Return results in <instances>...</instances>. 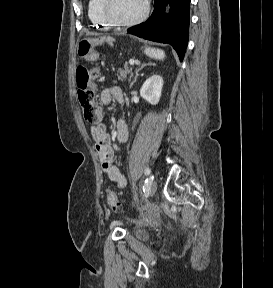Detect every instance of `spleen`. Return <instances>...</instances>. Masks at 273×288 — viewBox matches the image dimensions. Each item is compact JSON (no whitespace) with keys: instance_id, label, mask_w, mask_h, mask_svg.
Listing matches in <instances>:
<instances>
[{"instance_id":"1","label":"spleen","mask_w":273,"mask_h":288,"mask_svg":"<svg viewBox=\"0 0 273 288\" xmlns=\"http://www.w3.org/2000/svg\"><path fill=\"white\" fill-rule=\"evenodd\" d=\"M144 53L155 60H163L165 58V53L163 50L158 48L146 47Z\"/></svg>"}]
</instances>
